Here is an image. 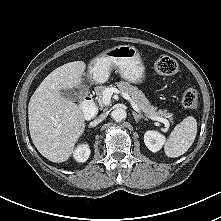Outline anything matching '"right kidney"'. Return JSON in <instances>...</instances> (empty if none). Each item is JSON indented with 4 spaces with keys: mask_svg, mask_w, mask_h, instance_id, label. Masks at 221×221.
I'll list each match as a JSON object with an SVG mask.
<instances>
[{
    "mask_svg": "<svg viewBox=\"0 0 221 221\" xmlns=\"http://www.w3.org/2000/svg\"><path fill=\"white\" fill-rule=\"evenodd\" d=\"M73 156L77 162H85L90 156V149L88 144L79 145L74 151Z\"/></svg>",
    "mask_w": 221,
    "mask_h": 221,
    "instance_id": "ca27d5eb",
    "label": "right kidney"
}]
</instances>
